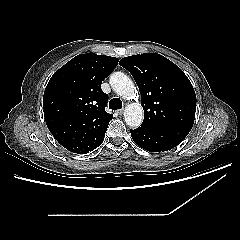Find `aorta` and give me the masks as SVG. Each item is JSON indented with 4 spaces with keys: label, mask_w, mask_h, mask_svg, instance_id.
<instances>
[{
    "label": "aorta",
    "mask_w": 240,
    "mask_h": 240,
    "mask_svg": "<svg viewBox=\"0 0 240 240\" xmlns=\"http://www.w3.org/2000/svg\"><path fill=\"white\" fill-rule=\"evenodd\" d=\"M110 85L115 93L125 99H131L136 95V88L133 81L122 72H115L110 76ZM144 113L140 103L128 104L124 110L125 123L137 128L143 121Z\"/></svg>",
    "instance_id": "obj_1"
}]
</instances>
